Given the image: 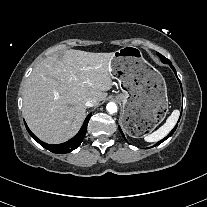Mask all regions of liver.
<instances>
[{"mask_svg":"<svg viewBox=\"0 0 207 207\" xmlns=\"http://www.w3.org/2000/svg\"><path fill=\"white\" fill-rule=\"evenodd\" d=\"M112 55L70 49L33 69L23 91V115L38 138L57 144L75 135L85 103L104 100L114 85Z\"/></svg>","mask_w":207,"mask_h":207,"instance_id":"obj_1","label":"liver"}]
</instances>
